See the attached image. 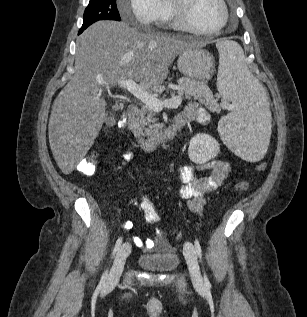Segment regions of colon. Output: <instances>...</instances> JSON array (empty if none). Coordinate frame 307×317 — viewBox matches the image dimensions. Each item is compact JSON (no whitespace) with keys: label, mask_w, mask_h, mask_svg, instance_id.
<instances>
[{"label":"colon","mask_w":307,"mask_h":317,"mask_svg":"<svg viewBox=\"0 0 307 317\" xmlns=\"http://www.w3.org/2000/svg\"><path fill=\"white\" fill-rule=\"evenodd\" d=\"M117 125H118L120 130H124L127 126L126 119L124 117H122L121 119H119ZM265 168H266L265 163H259L255 169H256V171L261 172V171H264ZM78 170L85 175L95 174V172L97 170V156H96V154L89 153L88 155H86L79 162ZM249 185H250V183L248 180L239 181L235 184L234 190L236 192H239V193L244 192L249 188ZM140 206H141V210L143 212V217L147 223L152 224V225L159 223L160 216H159L157 210L155 209V207L153 206V204L149 198L143 197Z\"/></svg>","instance_id":"5ec220e1"}]
</instances>
